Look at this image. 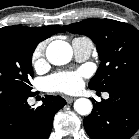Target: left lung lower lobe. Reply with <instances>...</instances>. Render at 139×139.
<instances>
[{"instance_id": "left-lung-lower-lobe-1", "label": "left lung lower lobe", "mask_w": 139, "mask_h": 139, "mask_svg": "<svg viewBox=\"0 0 139 139\" xmlns=\"http://www.w3.org/2000/svg\"><path fill=\"white\" fill-rule=\"evenodd\" d=\"M109 99L93 100L83 124L92 139H129L139 128V74L107 91Z\"/></svg>"}]
</instances>
